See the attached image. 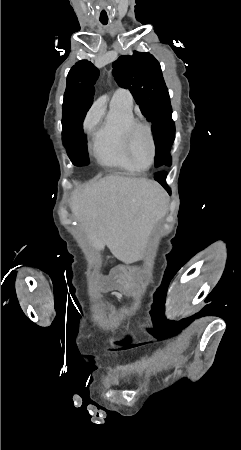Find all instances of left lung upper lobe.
<instances>
[{
    "label": "left lung upper lobe",
    "mask_w": 241,
    "mask_h": 450,
    "mask_svg": "<svg viewBox=\"0 0 241 450\" xmlns=\"http://www.w3.org/2000/svg\"><path fill=\"white\" fill-rule=\"evenodd\" d=\"M113 75L119 86L131 91L143 115L152 123L155 165L169 166L175 124L159 62L148 52L135 51L132 56H120L113 63Z\"/></svg>",
    "instance_id": "obj_1"
}]
</instances>
